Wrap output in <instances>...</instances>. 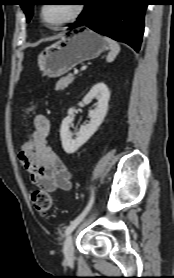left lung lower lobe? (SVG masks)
<instances>
[{
	"label": "left lung lower lobe",
	"instance_id": "left-lung-lower-lobe-1",
	"mask_svg": "<svg viewBox=\"0 0 174 278\" xmlns=\"http://www.w3.org/2000/svg\"><path fill=\"white\" fill-rule=\"evenodd\" d=\"M84 10L69 29L87 26L140 50L147 0H85Z\"/></svg>",
	"mask_w": 174,
	"mask_h": 278
}]
</instances>
